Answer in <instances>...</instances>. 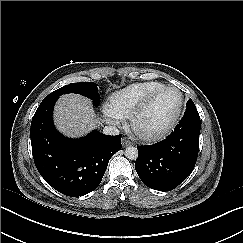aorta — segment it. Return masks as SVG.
<instances>
[{"label": "aorta", "mask_w": 243, "mask_h": 243, "mask_svg": "<svg viewBox=\"0 0 243 243\" xmlns=\"http://www.w3.org/2000/svg\"><path fill=\"white\" fill-rule=\"evenodd\" d=\"M125 157L129 160H135L138 157V149L134 146H128L125 150Z\"/></svg>", "instance_id": "1"}]
</instances>
